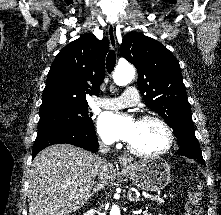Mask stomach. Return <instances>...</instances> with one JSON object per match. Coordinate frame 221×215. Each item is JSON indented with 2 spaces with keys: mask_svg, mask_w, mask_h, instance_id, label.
Returning a JSON list of instances; mask_svg holds the SVG:
<instances>
[{
  "mask_svg": "<svg viewBox=\"0 0 221 215\" xmlns=\"http://www.w3.org/2000/svg\"><path fill=\"white\" fill-rule=\"evenodd\" d=\"M123 172L139 189L159 191L169 183L170 167L162 158H152L123 166Z\"/></svg>",
  "mask_w": 221,
  "mask_h": 215,
  "instance_id": "obj_1",
  "label": "stomach"
}]
</instances>
